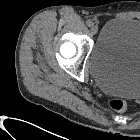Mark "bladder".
I'll list each match as a JSON object with an SVG mask.
<instances>
[{"mask_svg": "<svg viewBox=\"0 0 140 140\" xmlns=\"http://www.w3.org/2000/svg\"><path fill=\"white\" fill-rule=\"evenodd\" d=\"M89 62L92 76L104 92L140 97V19L109 20L95 41Z\"/></svg>", "mask_w": 140, "mask_h": 140, "instance_id": "bladder-1", "label": "bladder"}]
</instances>
